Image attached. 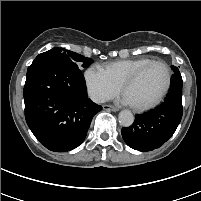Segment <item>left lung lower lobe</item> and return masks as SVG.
I'll use <instances>...</instances> for the list:
<instances>
[{"instance_id": "obj_1", "label": "left lung lower lobe", "mask_w": 201, "mask_h": 201, "mask_svg": "<svg viewBox=\"0 0 201 201\" xmlns=\"http://www.w3.org/2000/svg\"><path fill=\"white\" fill-rule=\"evenodd\" d=\"M171 77L169 93L157 108L137 114L130 127L121 130L126 144L138 151H152L162 146L177 129L183 114L182 77L177 67Z\"/></svg>"}]
</instances>
